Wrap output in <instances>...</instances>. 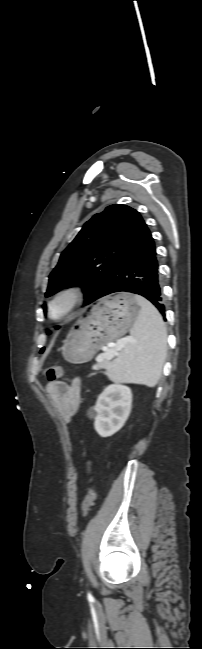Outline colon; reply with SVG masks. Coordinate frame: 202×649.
Here are the masks:
<instances>
[{
	"mask_svg": "<svg viewBox=\"0 0 202 649\" xmlns=\"http://www.w3.org/2000/svg\"><path fill=\"white\" fill-rule=\"evenodd\" d=\"M64 372L65 371H64L63 366H61V365H53V366L48 368V370L46 372V377L50 382H54V381H57V380L61 379L63 377V375H64ZM96 496H97L96 491L93 488H91L87 492V494H86V496H85V498H84V500L82 502V516L83 517L87 516V514L90 512L92 506L95 503Z\"/></svg>",
	"mask_w": 202,
	"mask_h": 649,
	"instance_id": "colon-1",
	"label": "colon"
}]
</instances>
